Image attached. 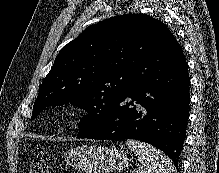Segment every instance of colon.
<instances>
[{
	"label": "colon",
	"mask_w": 219,
	"mask_h": 173,
	"mask_svg": "<svg viewBox=\"0 0 219 173\" xmlns=\"http://www.w3.org/2000/svg\"><path fill=\"white\" fill-rule=\"evenodd\" d=\"M29 173H47L45 162L43 160H34L31 163Z\"/></svg>",
	"instance_id": "colon-1"
}]
</instances>
